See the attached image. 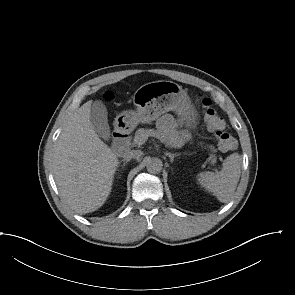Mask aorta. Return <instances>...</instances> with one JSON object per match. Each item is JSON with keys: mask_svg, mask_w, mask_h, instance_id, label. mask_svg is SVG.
Masks as SVG:
<instances>
[{"mask_svg": "<svg viewBox=\"0 0 295 295\" xmlns=\"http://www.w3.org/2000/svg\"><path fill=\"white\" fill-rule=\"evenodd\" d=\"M162 161L158 158H151L147 161V170L151 173H159L162 170Z\"/></svg>", "mask_w": 295, "mask_h": 295, "instance_id": "762f6f07", "label": "aorta"}]
</instances>
